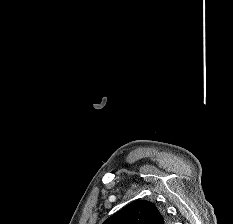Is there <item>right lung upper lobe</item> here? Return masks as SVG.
<instances>
[{
  "mask_svg": "<svg viewBox=\"0 0 233 224\" xmlns=\"http://www.w3.org/2000/svg\"><path fill=\"white\" fill-rule=\"evenodd\" d=\"M103 224H166V218L155 204L137 200L109 217Z\"/></svg>",
  "mask_w": 233,
  "mask_h": 224,
  "instance_id": "right-lung-upper-lobe-1",
  "label": "right lung upper lobe"
}]
</instances>
